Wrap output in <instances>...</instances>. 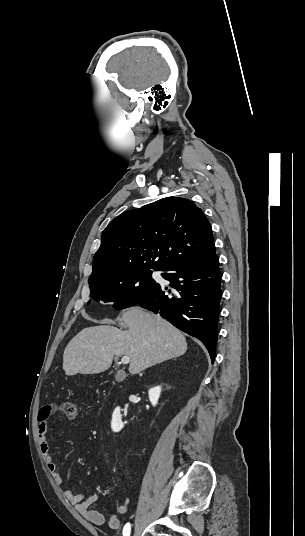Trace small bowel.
<instances>
[{
	"label": "small bowel",
	"mask_w": 305,
	"mask_h": 536,
	"mask_svg": "<svg viewBox=\"0 0 305 536\" xmlns=\"http://www.w3.org/2000/svg\"><path fill=\"white\" fill-rule=\"evenodd\" d=\"M58 414H61V411H58ZM48 418H51V415H48ZM51 425H54V422H51ZM48 433L49 430L47 425H45L44 422H41V425L38 429V442L40 451L46 462L47 469L53 477L54 482L58 486H63L65 483V479L63 475L59 473L58 466L54 460V456L50 451ZM64 496L74 506L76 511L89 522L95 525L104 524V516L100 512L90 508L91 504L97 502L100 499V496L98 494H92L86 497L82 493H75L72 489L67 488L64 490ZM126 511L127 505L123 504L118 507L117 513L110 515L108 520L110 528L118 529L120 527L121 521L119 515L126 513Z\"/></svg>",
	"instance_id": "1"
}]
</instances>
